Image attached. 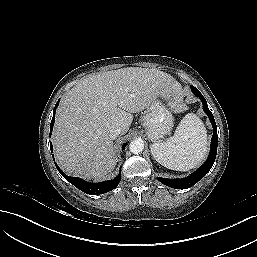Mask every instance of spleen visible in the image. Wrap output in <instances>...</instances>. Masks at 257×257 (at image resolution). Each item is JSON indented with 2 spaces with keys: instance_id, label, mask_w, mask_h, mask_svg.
Here are the masks:
<instances>
[{
  "instance_id": "spleen-1",
  "label": "spleen",
  "mask_w": 257,
  "mask_h": 257,
  "mask_svg": "<svg viewBox=\"0 0 257 257\" xmlns=\"http://www.w3.org/2000/svg\"><path fill=\"white\" fill-rule=\"evenodd\" d=\"M151 152L158 163L172 170L188 171L197 167L207 152V134L202 121L193 113L187 114L174 135L166 141L154 142Z\"/></svg>"
}]
</instances>
